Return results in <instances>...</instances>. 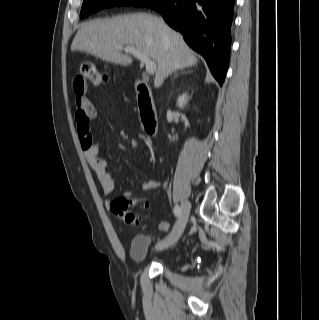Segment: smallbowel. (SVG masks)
Here are the masks:
<instances>
[{
	"instance_id": "1",
	"label": "small bowel",
	"mask_w": 319,
	"mask_h": 320,
	"mask_svg": "<svg viewBox=\"0 0 319 320\" xmlns=\"http://www.w3.org/2000/svg\"><path fill=\"white\" fill-rule=\"evenodd\" d=\"M86 87H78L75 85V104H76V121L79 126L82 115H85L89 121L95 120L97 118V111L93 104L89 101V99L85 95ZM80 136V134H79ZM80 141L83 147L84 156L93 169L96 178L102 188V192L104 195H111L114 191V180L111 175L107 171V160L99 155L100 143L98 141H92L91 144L87 145L83 142L81 136ZM161 186V182L159 180L153 179L149 181H145L141 184V189L143 191H151L157 189ZM129 194V193H128ZM141 203L145 207H149V201L143 200Z\"/></svg>"
}]
</instances>
